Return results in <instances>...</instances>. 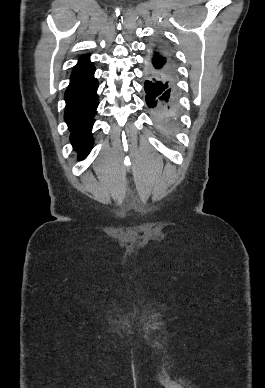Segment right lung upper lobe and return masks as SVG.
Returning a JSON list of instances; mask_svg holds the SVG:
<instances>
[{
  "instance_id": "cb5924a9",
  "label": "right lung upper lobe",
  "mask_w": 265,
  "mask_h": 388,
  "mask_svg": "<svg viewBox=\"0 0 265 388\" xmlns=\"http://www.w3.org/2000/svg\"><path fill=\"white\" fill-rule=\"evenodd\" d=\"M95 72V67L92 62L89 61V55L82 56L78 64L74 67L71 74V80H77L91 76Z\"/></svg>"
}]
</instances>
